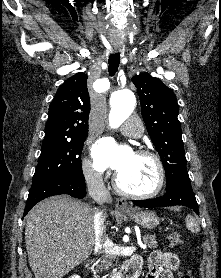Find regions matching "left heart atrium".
Here are the masks:
<instances>
[{
  "instance_id": "obj_1",
  "label": "left heart atrium",
  "mask_w": 221,
  "mask_h": 278,
  "mask_svg": "<svg viewBox=\"0 0 221 278\" xmlns=\"http://www.w3.org/2000/svg\"><path fill=\"white\" fill-rule=\"evenodd\" d=\"M94 162L99 170L111 168L119 172L133 155L132 150L126 146L117 145L112 139L99 140L92 150Z\"/></svg>"
}]
</instances>
